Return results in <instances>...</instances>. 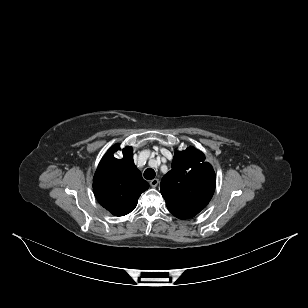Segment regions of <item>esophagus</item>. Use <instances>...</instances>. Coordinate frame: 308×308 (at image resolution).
<instances>
[{
	"label": "esophagus",
	"mask_w": 308,
	"mask_h": 308,
	"mask_svg": "<svg viewBox=\"0 0 308 308\" xmlns=\"http://www.w3.org/2000/svg\"><path fill=\"white\" fill-rule=\"evenodd\" d=\"M158 184H159V180H158L157 178H155V179H153V180L150 181V185H151L152 187H157Z\"/></svg>",
	"instance_id": "obj_1"
}]
</instances>
